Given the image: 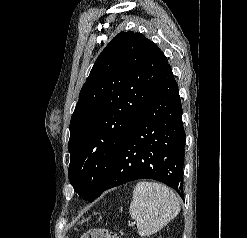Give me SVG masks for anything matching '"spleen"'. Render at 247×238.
<instances>
[{
  "mask_svg": "<svg viewBox=\"0 0 247 238\" xmlns=\"http://www.w3.org/2000/svg\"><path fill=\"white\" fill-rule=\"evenodd\" d=\"M130 215L137 222L140 236L157 233L174 219L179 211V200L167 186L141 181L133 190Z\"/></svg>",
  "mask_w": 247,
  "mask_h": 238,
  "instance_id": "3e777b00",
  "label": "spleen"
}]
</instances>
